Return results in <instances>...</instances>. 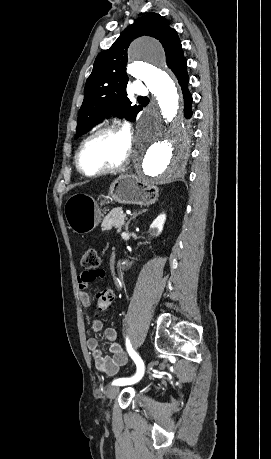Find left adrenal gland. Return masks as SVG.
Segmentation results:
<instances>
[{
	"mask_svg": "<svg viewBox=\"0 0 271 459\" xmlns=\"http://www.w3.org/2000/svg\"><path fill=\"white\" fill-rule=\"evenodd\" d=\"M142 212H146V210H142ZM138 214H141V212H138ZM138 214H133L132 218H130V220H128V222H127V224L125 226L126 231L129 228V224H130L131 220H134V218H137Z\"/></svg>",
	"mask_w": 271,
	"mask_h": 459,
	"instance_id": "a2214340",
	"label": "left adrenal gland"
}]
</instances>
